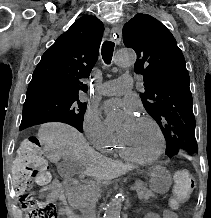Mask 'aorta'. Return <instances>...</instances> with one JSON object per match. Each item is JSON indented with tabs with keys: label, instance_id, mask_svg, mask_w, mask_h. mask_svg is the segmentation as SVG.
Listing matches in <instances>:
<instances>
[{
	"label": "aorta",
	"instance_id": "aorta-1",
	"mask_svg": "<svg viewBox=\"0 0 211 218\" xmlns=\"http://www.w3.org/2000/svg\"><path fill=\"white\" fill-rule=\"evenodd\" d=\"M113 61L119 67H128L135 63L136 54L132 50H119ZM105 123L107 128L115 129L120 123V117L114 113H108ZM121 209L122 199L120 197L112 198L106 207L104 218H120Z\"/></svg>",
	"mask_w": 211,
	"mask_h": 218
}]
</instances>
